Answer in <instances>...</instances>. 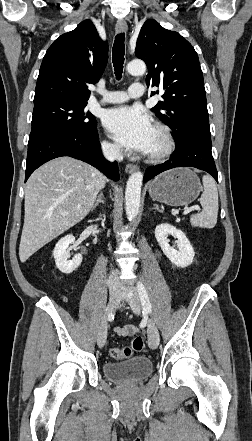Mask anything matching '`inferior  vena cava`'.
<instances>
[{
  "instance_id": "602c4592",
  "label": "inferior vena cava",
  "mask_w": 252,
  "mask_h": 441,
  "mask_svg": "<svg viewBox=\"0 0 252 441\" xmlns=\"http://www.w3.org/2000/svg\"><path fill=\"white\" fill-rule=\"evenodd\" d=\"M104 157L109 161H121L123 159L120 148L117 146L103 145L102 147ZM110 292L123 291V286L120 284L115 272L112 270L108 280Z\"/></svg>"
}]
</instances>
